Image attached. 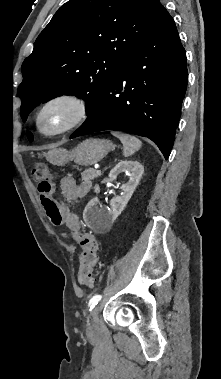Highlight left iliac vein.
Wrapping results in <instances>:
<instances>
[{
  "label": "left iliac vein",
  "mask_w": 221,
  "mask_h": 379,
  "mask_svg": "<svg viewBox=\"0 0 221 379\" xmlns=\"http://www.w3.org/2000/svg\"><path fill=\"white\" fill-rule=\"evenodd\" d=\"M98 308L93 309L88 316L87 329L89 333H94L98 329Z\"/></svg>",
  "instance_id": "4c4485c4"
}]
</instances>
